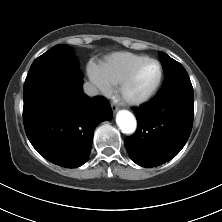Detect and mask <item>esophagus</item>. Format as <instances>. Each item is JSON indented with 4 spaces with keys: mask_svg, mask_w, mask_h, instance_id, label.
<instances>
[{
    "mask_svg": "<svg viewBox=\"0 0 222 222\" xmlns=\"http://www.w3.org/2000/svg\"><path fill=\"white\" fill-rule=\"evenodd\" d=\"M111 107L114 113L118 111V107L115 104H112Z\"/></svg>",
    "mask_w": 222,
    "mask_h": 222,
    "instance_id": "1",
    "label": "esophagus"
}]
</instances>
